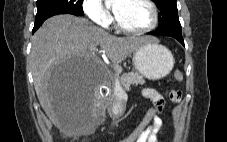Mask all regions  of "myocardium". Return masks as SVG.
Instances as JSON below:
<instances>
[{
	"label": "myocardium",
	"mask_w": 227,
	"mask_h": 142,
	"mask_svg": "<svg viewBox=\"0 0 227 142\" xmlns=\"http://www.w3.org/2000/svg\"><path fill=\"white\" fill-rule=\"evenodd\" d=\"M144 1L148 5L151 12V20L147 26L140 29L128 28L122 25L118 20V18L116 17V15L113 14V23L115 28L123 33L133 34V35H141L152 31L158 23V19H159L158 8L153 0H144Z\"/></svg>",
	"instance_id": "1"
}]
</instances>
